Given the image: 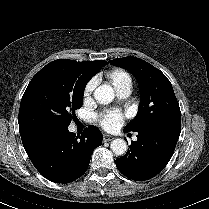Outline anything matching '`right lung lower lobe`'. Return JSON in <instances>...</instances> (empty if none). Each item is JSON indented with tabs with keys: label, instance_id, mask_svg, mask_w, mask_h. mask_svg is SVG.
<instances>
[{
	"label": "right lung lower lobe",
	"instance_id": "right-lung-lower-lobe-1",
	"mask_svg": "<svg viewBox=\"0 0 209 209\" xmlns=\"http://www.w3.org/2000/svg\"><path fill=\"white\" fill-rule=\"evenodd\" d=\"M103 136L95 127L79 136L68 128L41 137L26 152L39 173L55 183H70L87 170L92 151L102 144Z\"/></svg>",
	"mask_w": 209,
	"mask_h": 209
}]
</instances>
